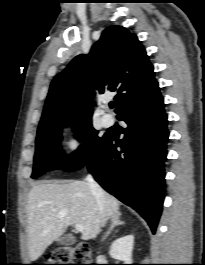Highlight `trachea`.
Here are the masks:
<instances>
[{
  "instance_id": "trachea-1",
  "label": "trachea",
  "mask_w": 205,
  "mask_h": 265,
  "mask_svg": "<svg viewBox=\"0 0 205 265\" xmlns=\"http://www.w3.org/2000/svg\"><path fill=\"white\" fill-rule=\"evenodd\" d=\"M109 106H110V108H113L115 105L113 102H111Z\"/></svg>"
}]
</instances>
